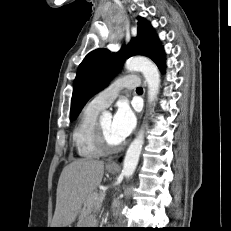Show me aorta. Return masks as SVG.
Listing matches in <instances>:
<instances>
[{
    "label": "aorta",
    "instance_id": "obj_1",
    "mask_svg": "<svg viewBox=\"0 0 231 231\" xmlns=\"http://www.w3.org/2000/svg\"><path fill=\"white\" fill-rule=\"evenodd\" d=\"M125 68L129 71H140L148 87V102L152 103L160 87V73L157 66L146 57H133L125 63ZM104 115H107L105 113ZM144 144V128H142L135 139L131 142L123 162L122 173L126 178L133 175Z\"/></svg>",
    "mask_w": 231,
    "mask_h": 231
}]
</instances>
